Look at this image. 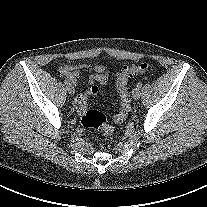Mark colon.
<instances>
[{
  "instance_id": "obj_1",
  "label": "colon",
  "mask_w": 207,
  "mask_h": 207,
  "mask_svg": "<svg viewBox=\"0 0 207 207\" xmlns=\"http://www.w3.org/2000/svg\"><path fill=\"white\" fill-rule=\"evenodd\" d=\"M148 64L144 62L125 66L117 75V89L120 95V111L114 116L116 123H122L128 116L131 108L128 81L130 78L146 72ZM98 93V87L92 85L84 93H80L74 100V106L80 116L81 124L86 128L99 129L104 136L113 133V127L107 123L105 115L98 111L88 108V96Z\"/></svg>"
}]
</instances>
